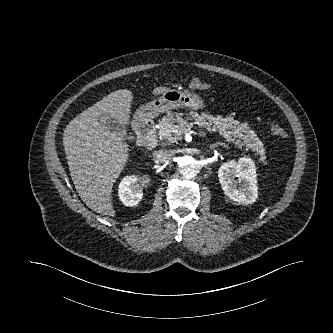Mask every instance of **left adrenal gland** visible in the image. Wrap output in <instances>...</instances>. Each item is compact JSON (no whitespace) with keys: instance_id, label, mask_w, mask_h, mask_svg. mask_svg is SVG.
Here are the masks:
<instances>
[{"instance_id":"left-adrenal-gland-1","label":"left adrenal gland","mask_w":333,"mask_h":333,"mask_svg":"<svg viewBox=\"0 0 333 333\" xmlns=\"http://www.w3.org/2000/svg\"><path fill=\"white\" fill-rule=\"evenodd\" d=\"M218 145H221V146L226 147V145H225L224 143L218 142V143H215V144L211 145L210 148H211V149H214V148L217 147Z\"/></svg>"}]
</instances>
